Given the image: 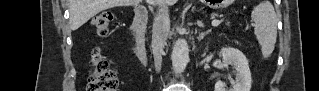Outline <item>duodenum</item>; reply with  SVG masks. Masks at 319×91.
<instances>
[{"label": "duodenum", "instance_id": "410a0bca", "mask_svg": "<svg viewBox=\"0 0 319 91\" xmlns=\"http://www.w3.org/2000/svg\"><path fill=\"white\" fill-rule=\"evenodd\" d=\"M147 21L148 12L146 8L142 6L136 7L134 21L132 24V38L136 55L144 65L148 62V53L145 41V28Z\"/></svg>", "mask_w": 319, "mask_h": 91}]
</instances>
